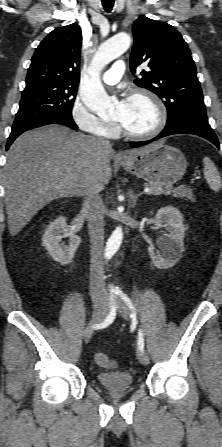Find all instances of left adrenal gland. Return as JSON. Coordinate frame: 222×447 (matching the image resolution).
<instances>
[{
    "label": "left adrenal gland",
    "mask_w": 222,
    "mask_h": 447,
    "mask_svg": "<svg viewBox=\"0 0 222 447\" xmlns=\"http://www.w3.org/2000/svg\"><path fill=\"white\" fill-rule=\"evenodd\" d=\"M140 195H141V193L134 194L132 190L129 191V204L132 208H134L136 206L137 200Z\"/></svg>",
    "instance_id": "obj_1"
}]
</instances>
